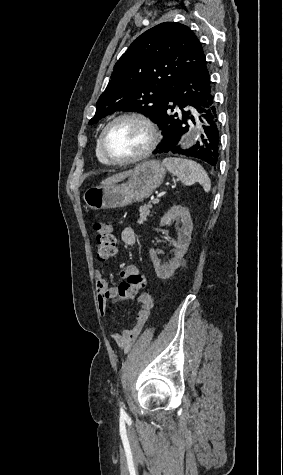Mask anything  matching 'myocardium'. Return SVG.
Here are the masks:
<instances>
[{
    "label": "myocardium",
    "mask_w": 283,
    "mask_h": 475,
    "mask_svg": "<svg viewBox=\"0 0 283 475\" xmlns=\"http://www.w3.org/2000/svg\"><path fill=\"white\" fill-rule=\"evenodd\" d=\"M124 119H135L144 123L149 128L150 140L147 146L145 147V149L137 155L126 157V158L109 157L106 154V151L104 148L105 135L113 124ZM158 139H159V131H158L157 125L148 115L139 113V112H127V113H123L114 117L111 121H109L105 125V127L102 129L99 135L98 146H99L100 154L106 162H132V164H136L148 158L152 154V152L155 150L157 146Z\"/></svg>",
    "instance_id": "myocardium-1"
}]
</instances>
